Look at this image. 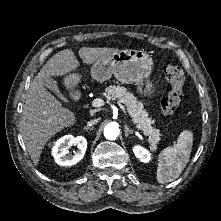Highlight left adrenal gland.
<instances>
[{"label": "left adrenal gland", "mask_w": 221, "mask_h": 221, "mask_svg": "<svg viewBox=\"0 0 221 221\" xmlns=\"http://www.w3.org/2000/svg\"><path fill=\"white\" fill-rule=\"evenodd\" d=\"M124 129H125V137H129L130 134H133V130L128 128L127 125H124Z\"/></svg>", "instance_id": "1"}]
</instances>
